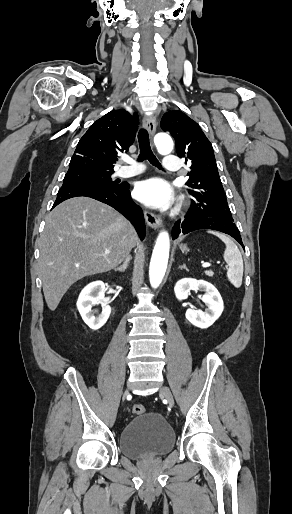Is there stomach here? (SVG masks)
I'll return each mask as SVG.
<instances>
[{
    "label": "stomach",
    "instance_id": "stomach-1",
    "mask_svg": "<svg viewBox=\"0 0 292 514\" xmlns=\"http://www.w3.org/2000/svg\"><path fill=\"white\" fill-rule=\"evenodd\" d=\"M182 252H186V250H188L187 246H180Z\"/></svg>",
    "mask_w": 292,
    "mask_h": 514
}]
</instances>
